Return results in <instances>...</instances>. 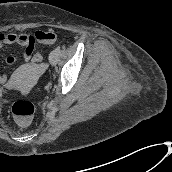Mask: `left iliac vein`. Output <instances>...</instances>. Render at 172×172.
Segmentation results:
<instances>
[{
    "mask_svg": "<svg viewBox=\"0 0 172 172\" xmlns=\"http://www.w3.org/2000/svg\"><path fill=\"white\" fill-rule=\"evenodd\" d=\"M57 59H58V53L56 51H52L49 54V62H50V64L55 65L56 62H57Z\"/></svg>",
    "mask_w": 172,
    "mask_h": 172,
    "instance_id": "obj_1",
    "label": "left iliac vein"
}]
</instances>
